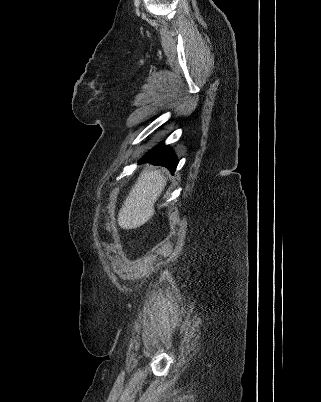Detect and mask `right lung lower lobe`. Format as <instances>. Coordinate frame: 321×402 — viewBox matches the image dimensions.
<instances>
[{
  "instance_id": "1",
  "label": "right lung lower lobe",
  "mask_w": 321,
  "mask_h": 402,
  "mask_svg": "<svg viewBox=\"0 0 321 402\" xmlns=\"http://www.w3.org/2000/svg\"><path fill=\"white\" fill-rule=\"evenodd\" d=\"M141 162H151L154 165L167 167L172 173L176 170L178 160L171 149L164 143L157 145L152 151L146 154Z\"/></svg>"
}]
</instances>
